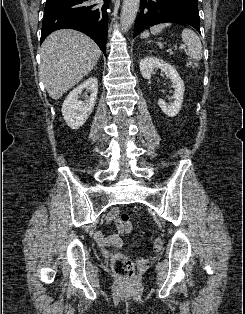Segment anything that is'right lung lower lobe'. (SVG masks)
<instances>
[{
  "instance_id": "right-lung-lower-lobe-1",
  "label": "right lung lower lobe",
  "mask_w": 245,
  "mask_h": 314,
  "mask_svg": "<svg viewBox=\"0 0 245 314\" xmlns=\"http://www.w3.org/2000/svg\"><path fill=\"white\" fill-rule=\"evenodd\" d=\"M110 0L103 4L92 0H47L42 23L41 43L53 31L61 28L79 30L90 36L106 53V9Z\"/></svg>"
}]
</instances>
